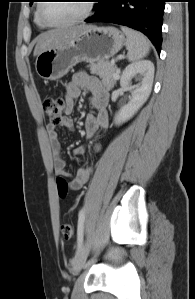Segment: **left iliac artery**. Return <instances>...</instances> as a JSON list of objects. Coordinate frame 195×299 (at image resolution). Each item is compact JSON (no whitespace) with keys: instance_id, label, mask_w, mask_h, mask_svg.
<instances>
[{"instance_id":"obj_1","label":"left iliac artery","mask_w":195,"mask_h":299,"mask_svg":"<svg viewBox=\"0 0 195 299\" xmlns=\"http://www.w3.org/2000/svg\"><path fill=\"white\" fill-rule=\"evenodd\" d=\"M84 209L79 212V220H78V233H77V252L82 246L83 243V230H84Z\"/></svg>"}]
</instances>
